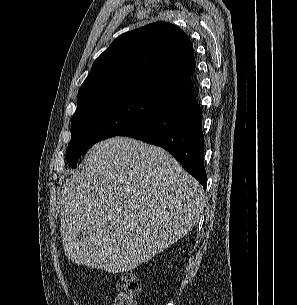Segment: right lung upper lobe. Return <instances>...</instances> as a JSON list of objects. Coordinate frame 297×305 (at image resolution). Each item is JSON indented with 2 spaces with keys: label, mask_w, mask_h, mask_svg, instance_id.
<instances>
[{
  "label": "right lung upper lobe",
  "mask_w": 297,
  "mask_h": 305,
  "mask_svg": "<svg viewBox=\"0 0 297 305\" xmlns=\"http://www.w3.org/2000/svg\"><path fill=\"white\" fill-rule=\"evenodd\" d=\"M193 46L177 26L156 22L124 33L93 63L78 93L77 109L126 94L171 103L193 93Z\"/></svg>",
  "instance_id": "right-lung-upper-lobe-1"
}]
</instances>
